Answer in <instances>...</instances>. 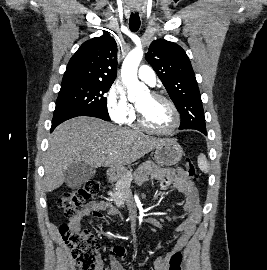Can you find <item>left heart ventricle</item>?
Segmentation results:
<instances>
[{
    "label": "left heart ventricle",
    "instance_id": "b2bd125f",
    "mask_svg": "<svg viewBox=\"0 0 267 270\" xmlns=\"http://www.w3.org/2000/svg\"><path fill=\"white\" fill-rule=\"evenodd\" d=\"M137 108L141 112L146 124L151 128L165 130L173 122V115L169 106L149 94L137 102Z\"/></svg>",
    "mask_w": 267,
    "mask_h": 270
}]
</instances>
